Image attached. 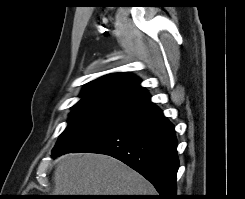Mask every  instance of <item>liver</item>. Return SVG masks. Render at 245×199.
<instances>
[{"label": "liver", "mask_w": 245, "mask_h": 199, "mask_svg": "<svg viewBox=\"0 0 245 199\" xmlns=\"http://www.w3.org/2000/svg\"><path fill=\"white\" fill-rule=\"evenodd\" d=\"M54 195H155L153 185L119 160L102 154L62 156Z\"/></svg>", "instance_id": "obj_1"}]
</instances>
